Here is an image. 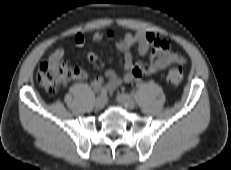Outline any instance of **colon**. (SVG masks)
Wrapping results in <instances>:
<instances>
[{
    "label": "colon",
    "instance_id": "obj_1",
    "mask_svg": "<svg viewBox=\"0 0 231 170\" xmlns=\"http://www.w3.org/2000/svg\"><path fill=\"white\" fill-rule=\"evenodd\" d=\"M84 77L85 72L82 69L71 68L61 61L42 63L36 75L38 83L50 94H56L69 81ZM182 79V68L179 65L172 66L167 73V83L172 87H177L181 84Z\"/></svg>",
    "mask_w": 231,
    "mask_h": 170
}]
</instances>
